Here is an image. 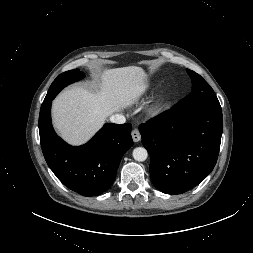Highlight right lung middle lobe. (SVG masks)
Wrapping results in <instances>:
<instances>
[{"mask_svg": "<svg viewBox=\"0 0 253 253\" xmlns=\"http://www.w3.org/2000/svg\"><path fill=\"white\" fill-rule=\"evenodd\" d=\"M84 76V73L80 72L79 69L66 71L60 74L51 84L44 101L53 99L64 87L75 81H79Z\"/></svg>", "mask_w": 253, "mask_h": 253, "instance_id": "right-lung-middle-lobe-1", "label": "right lung middle lobe"}]
</instances>
